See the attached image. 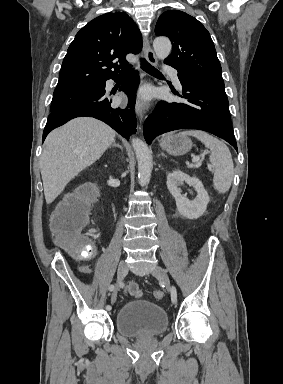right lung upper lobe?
Instances as JSON below:
<instances>
[{"label":"right lung upper lobe","instance_id":"1","mask_svg":"<svg viewBox=\"0 0 283 384\" xmlns=\"http://www.w3.org/2000/svg\"><path fill=\"white\" fill-rule=\"evenodd\" d=\"M141 48V33L126 13L98 16L83 27L70 44L56 90L99 85L108 79L119 80L127 72L126 54H137ZM113 60L118 62L113 63Z\"/></svg>","mask_w":283,"mask_h":384}]
</instances>
